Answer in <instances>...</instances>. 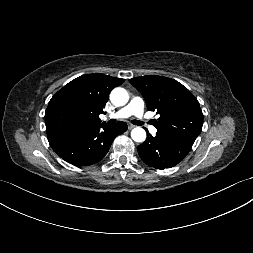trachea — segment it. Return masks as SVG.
<instances>
[{
  "instance_id": "trachea-1",
  "label": "trachea",
  "mask_w": 253,
  "mask_h": 253,
  "mask_svg": "<svg viewBox=\"0 0 253 253\" xmlns=\"http://www.w3.org/2000/svg\"><path fill=\"white\" fill-rule=\"evenodd\" d=\"M115 123H116V120H114V119H111L108 121L109 125H114ZM131 123L134 125H138V126L142 125V122L138 121V120H132Z\"/></svg>"
}]
</instances>
